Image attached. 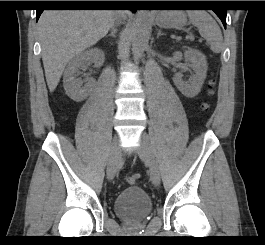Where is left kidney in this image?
Listing matches in <instances>:
<instances>
[{
    "label": "left kidney",
    "instance_id": "1",
    "mask_svg": "<svg viewBox=\"0 0 265 245\" xmlns=\"http://www.w3.org/2000/svg\"><path fill=\"white\" fill-rule=\"evenodd\" d=\"M186 61L190 62V67L194 74L188 82L182 79V73H176L173 82L178 90L186 97L193 98L199 94L207 74V60L199 50L188 49L184 52Z\"/></svg>",
    "mask_w": 265,
    "mask_h": 245
}]
</instances>
